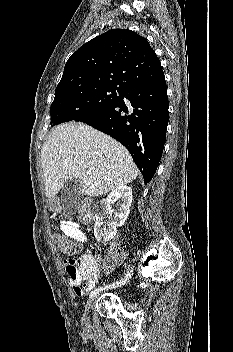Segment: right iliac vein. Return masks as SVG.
Wrapping results in <instances>:
<instances>
[{
    "mask_svg": "<svg viewBox=\"0 0 233 352\" xmlns=\"http://www.w3.org/2000/svg\"><path fill=\"white\" fill-rule=\"evenodd\" d=\"M95 301H96V295L94 297H92L86 307H85V311H84V315H83V318H82V323L83 324H87L88 323V314L90 313V311L92 310L94 304H95Z\"/></svg>",
    "mask_w": 233,
    "mask_h": 352,
    "instance_id": "1",
    "label": "right iliac vein"
}]
</instances>
